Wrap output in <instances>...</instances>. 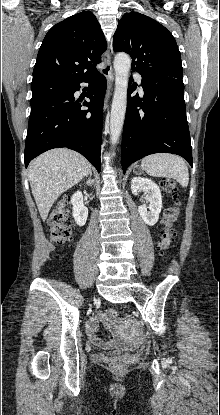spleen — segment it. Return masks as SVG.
<instances>
[{
    "label": "spleen",
    "mask_w": 220,
    "mask_h": 415,
    "mask_svg": "<svg viewBox=\"0 0 220 415\" xmlns=\"http://www.w3.org/2000/svg\"><path fill=\"white\" fill-rule=\"evenodd\" d=\"M141 167L151 176L173 178L181 186H188V168L185 161L179 156L167 153L149 155L142 159Z\"/></svg>",
    "instance_id": "spleen-1"
}]
</instances>
